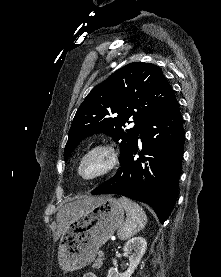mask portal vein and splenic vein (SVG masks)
Instances as JSON below:
<instances>
[{"mask_svg":"<svg viewBox=\"0 0 221 277\" xmlns=\"http://www.w3.org/2000/svg\"><path fill=\"white\" fill-rule=\"evenodd\" d=\"M100 254H101V255H103V254H104V252L101 250V251H100Z\"/></svg>","mask_w":221,"mask_h":277,"instance_id":"18ae733b","label":"portal vein and splenic vein"}]
</instances>
